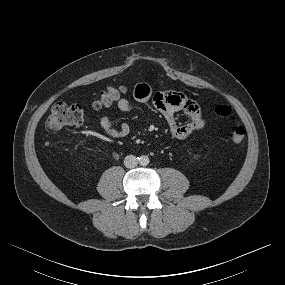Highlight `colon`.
Returning <instances> with one entry per match:
<instances>
[{
	"instance_id": "1",
	"label": "colon",
	"mask_w": 285,
	"mask_h": 285,
	"mask_svg": "<svg viewBox=\"0 0 285 285\" xmlns=\"http://www.w3.org/2000/svg\"><path fill=\"white\" fill-rule=\"evenodd\" d=\"M125 92L123 86H109L103 90L93 106L96 109H102L111 106L117 102L121 95ZM214 113L222 119L231 118V109L225 105L214 107ZM83 120V110L78 104L67 101L55 103L50 111V114L45 120V127L49 131H58L66 126L80 124ZM229 139L234 144H240L245 137V128L240 124H234L229 132Z\"/></svg>"
}]
</instances>
